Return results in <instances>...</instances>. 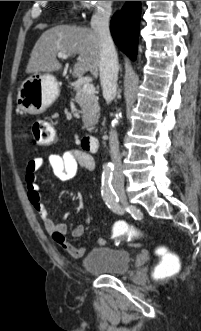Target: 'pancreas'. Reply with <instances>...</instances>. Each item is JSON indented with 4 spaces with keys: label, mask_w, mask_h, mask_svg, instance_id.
Instances as JSON below:
<instances>
[{
    "label": "pancreas",
    "mask_w": 201,
    "mask_h": 331,
    "mask_svg": "<svg viewBox=\"0 0 201 331\" xmlns=\"http://www.w3.org/2000/svg\"><path fill=\"white\" fill-rule=\"evenodd\" d=\"M73 101L80 106L83 117V127L89 131L92 130L100 116L98 97L95 94H86L83 89L80 88L77 90Z\"/></svg>",
    "instance_id": "pancreas-1"
}]
</instances>
